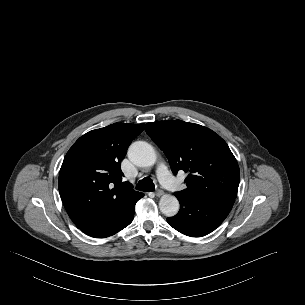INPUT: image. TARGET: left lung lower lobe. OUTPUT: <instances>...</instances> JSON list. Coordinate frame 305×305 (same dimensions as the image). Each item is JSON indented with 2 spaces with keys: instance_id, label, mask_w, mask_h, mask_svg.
<instances>
[{
  "instance_id": "0a47b994",
  "label": "left lung lower lobe",
  "mask_w": 305,
  "mask_h": 305,
  "mask_svg": "<svg viewBox=\"0 0 305 305\" xmlns=\"http://www.w3.org/2000/svg\"><path fill=\"white\" fill-rule=\"evenodd\" d=\"M179 212L167 218L168 224L191 237L207 235L215 230L229 214L234 201L225 197L189 199L176 195Z\"/></svg>"
}]
</instances>
